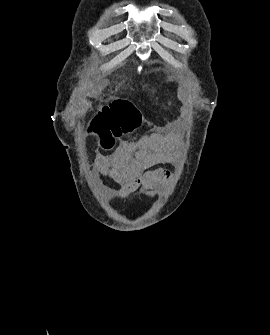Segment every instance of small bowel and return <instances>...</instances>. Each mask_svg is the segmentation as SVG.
I'll list each match as a JSON object with an SVG mask.
<instances>
[{"label": "small bowel", "instance_id": "small-bowel-1", "mask_svg": "<svg viewBox=\"0 0 270 335\" xmlns=\"http://www.w3.org/2000/svg\"><path fill=\"white\" fill-rule=\"evenodd\" d=\"M177 136L176 126L169 123L152 128L139 139L122 142L112 154H97L95 172L120 185L119 189H110L109 195L122 199L141 187L146 197H154L171 178L169 170L158 166L175 160Z\"/></svg>", "mask_w": 270, "mask_h": 335}]
</instances>
